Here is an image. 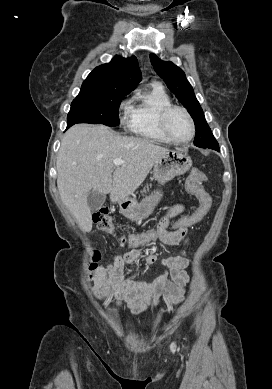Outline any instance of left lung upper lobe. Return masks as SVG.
I'll use <instances>...</instances> for the list:
<instances>
[{
	"mask_svg": "<svg viewBox=\"0 0 272 389\" xmlns=\"http://www.w3.org/2000/svg\"><path fill=\"white\" fill-rule=\"evenodd\" d=\"M150 60L157 74L163 78L167 87L176 95L193 118L196 129L195 146L210 148L216 140L206 123L203 110L183 70L170 61H162L155 54L150 55Z\"/></svg>",
	"mask_w": 272,
	"mask_h": 389,
	"instance_id": "5c2ea615",
	"label": "left lung upper lobe"
}]
</instances>
